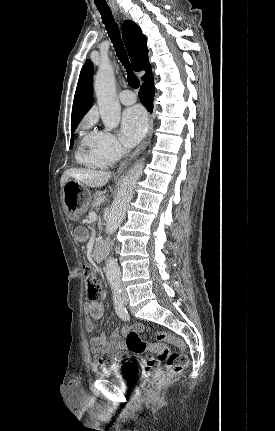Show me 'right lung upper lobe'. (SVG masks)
<instances>
[{"label":"right lung upper lobe","instance_id":"cb5924a9","mask_svg":"<svg viewBox=\"0 0 275 431\" xmlns=\"http://www.w3.org/2000/svg\"><path fill=\"white\" fill-rule=\"evenodd\" d=\"M122 37L128 51L133 69L145 70L142 80L151 75V66L148 61L147 39L140 27L133 21H125L122 25ZM93 65L87 60L81 69L72 110L71 128L78 126L84 115L93 105L92 95Z\"/></svg>","mask_w":275,"mask_h":431}]
</instances>
